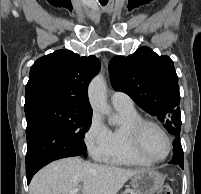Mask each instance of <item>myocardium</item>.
Here are the masks:
<instances>
[{
    "instance_id": "f54148a6",
    "label": "myocardium",
    "mask_w": 201,
    "mask_h": 194,
    "mask_svg": "<svg viewBox=\"0 0 201 194\" xmlns=\"http://www.w3.org/2000/svg\"><path fill=\"white\" fill-rule=\"evenodd\" d=\"M147 126H152L155 127L156 129H158L166 138L167 143H168V150L167 153L161 157V158H152L150 157L143 149L142 147V135L144 132V129ZM131 138H132V144L134 149L136 150V152L145 160H147L150 163H159V162H163L164 160H166L172 150H173V141L172 138L170 136V134L167 132V130L160 125L159 123L153 121V120H149V119H140L139 121H137L136 123H134V125L131 128Z\"/></svg>"
}]
</instances>
